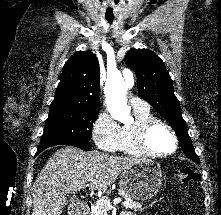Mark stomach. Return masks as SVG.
<instances>
[{
    "instance_id": "stomach-1",
    "label": "stomach",
    "mask_w": 221,
    "mask_h": 215,
    "mask_svg": "<svg viewBox=\"0 0 221 215\" xmlns=\"http://www.w3.org/2000/svg\"><path fill=\"white\" fill-rule=\"evenodd\" d=\"M163 171L153 161H140L125 169L119 177L120 189L130 198L147 200L157 194L162 185Z\"/></svg>"
}]
</instances>
